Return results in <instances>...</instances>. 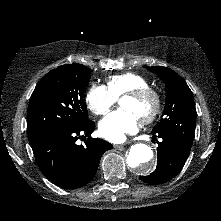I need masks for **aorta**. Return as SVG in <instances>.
I'll return each instance as SVG.
<instances>
[{
    "mask_svg": "<svg viewBox=\"0 0 221 221\" xmlns=\"http://www.w3.org/2000/svg\"><path fill=\"white\" fill-rule=\"evenodd\" d=\"M126 163L129 170L137 175L153 172L156 165L151 147L143 143L132 145L126 156Z\"/></svg>",
    "mask_w": 221,
    "mask_h": 221,
    "instance_id": "762f6f07",
    "label": "aorta"
}]
</instances>
